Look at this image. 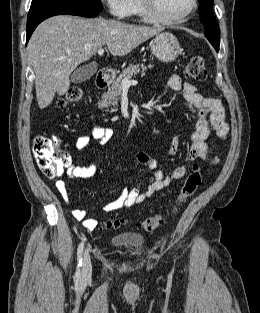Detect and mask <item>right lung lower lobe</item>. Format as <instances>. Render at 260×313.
<instances>
[{
    "instance_id": "obj_1",
    "label": "right lung lower lobe",
    "mask_w": 260,
    "mask_h": 313,
    "mask_svg": "<svg viewBox=\"0 0 260 313\" xmlns=\"http://www.w3.org/2000/svg\"><path fill=\"white\" fill-rule=\"evenodd\" d=\"M100 11L80 8L75 6H61V5H40L31 7L27 18V39L28 42L33 31L39 23L46 18L55 15H76L82 17H95Z\"/></svg>"
}]
</instances>
